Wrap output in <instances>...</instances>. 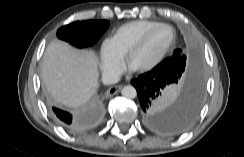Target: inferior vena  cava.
<instances>
[{"instance_id": "inferior-vena-cava-1", "label": "inferior vena cava", "mask_w": 244, "mask_h": 157, "mask_svg": "<svg viewBox=\"0 0 244 157\" xmlns=\"http://www.w3.org/2000/svg\"><path fill=\"white\" fill-rule=\"evenodd\" d=\"M120 80V75L117 72H106L102 76V82L110 85L117 83Z\"/></svg>"}]
</instances>
